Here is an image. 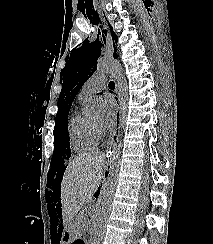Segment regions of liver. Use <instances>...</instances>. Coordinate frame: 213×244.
<instances>
[{"mask_svg": "<svg viewBox=\"0 0 213 244\" xmlns=\"http://www.w3.org/2000/svg\"><path fill=\"white\" fill-rule=\"evenodd\" d=\"M104 163V154L93 152L80 154L68 164L61 183V205L69 232L80 206L91 199L100 185Z\"/></svg>", "mask_w": 213, "mask_h": 244, "instance_id": "obj_1", "label": "liver"}]
</instances>
